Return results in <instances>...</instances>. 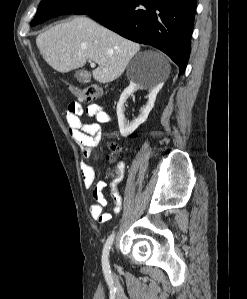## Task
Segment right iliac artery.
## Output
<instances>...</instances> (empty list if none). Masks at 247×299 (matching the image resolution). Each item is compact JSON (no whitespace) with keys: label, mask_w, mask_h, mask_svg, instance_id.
I'll use <instances>...</instances> for the list:
<instances>
[{"label":"right iliac artery","mask_w":247,"mask_h":299,"mask_svg":"<svg viewBox=\"0 0 247 299\" xmlns=\"http://www.w3.org/2000/svg\"><path fill=\"white\" fill-rule=\"evenodd\" d=\"M114 236H115V234L113 233L108 237V239L104 245V249H103L102 265H103V269H104L105 273H107V274L110 273L108 255H109V251H110V248H111L113 240H114Z\"/></svg>","instance_id":"right-iliac-artery-1"}]
</instances>
